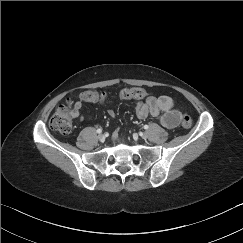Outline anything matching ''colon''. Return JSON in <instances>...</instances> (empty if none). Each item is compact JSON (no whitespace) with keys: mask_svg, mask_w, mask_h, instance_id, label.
Wrapping results in <instances>:
<instances>
[{"mask_svg":"<svg viewBox=\"0 0 243 243\" xmlns=\"http://www.w3.org/2000/svg\"><path fill=\"white\" fill-rule=\"evenodd\" d=\"M120 97L140 100L146 97V91L138 87L126 88L121 92ZM82 99L85 102H102L106 100V95L104 93L87 91L82 94ZM71 107L72 102L70 99H66L65 102L60 105L59 109L49 120V126L52 130L62 134H68L72 131ZM182 126L184 128H190L192 126V119L189 115L184 114L182 116Z\"/></svg>","mask_w":243,"mask_h":243,"instance_id":"1","label":"colon"}]
</instances>
